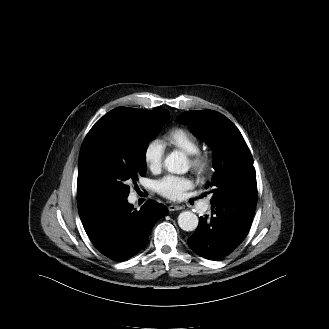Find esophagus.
Here are the masks:
<instances>
[{"mask_svg":"<svg viewBox=\"0 0 329 329\" xmlns=\"http://www.w3.org/2000/svg\"><path fill=\"white\" fill-rule=\"evenodd\" d=\"M183 207L182 206H179V205H169L168 206V210L169 211H176V210H181Z\"/></svg>","mask_w":329,"mask_h":329,"instance_id":"esophagus-1","label":"esophagus"}]
</instances>
